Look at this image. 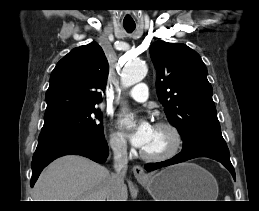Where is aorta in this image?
Segmentation results:
<instances>
[{"label":"aorta","instance_id":"762f6f07","mask_svg":"<svg viewBox=\"0 0 259 211\" xmlns=\"http://www.w3.org/2000/svg\"><path fill=\"white\" fill-rule=\"evenodd\" d=\"M147 65L143 61L128 63L121 74V81L124 87H130L144 79L147 74Z\"/></svg>","mask_w":259,"mask_h":211}]
</instances>
